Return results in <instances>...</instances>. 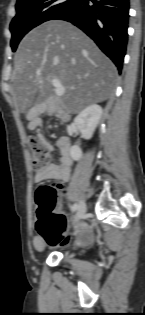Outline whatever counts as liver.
Wrapping results in <instances>:
<instances>
[{"mask_svg":"<svg viewBox=\"0 0 145 315\" xmlns=\"http://www.w3.org/2000/svg\"><path fill=\"white\" fill-rule=\"evenodd\" d=\"M117 69L80 29L51 20L31 30L20 42L14 58L11 94L16 108L32 119L33 107L47 104L60 116L79 113L107 100L113 93ZM52 79L65 87L53 97Z\"/></svg>","mask_w":145,"mask_h":315,"instance_id":"liver-1","label":"liver"}]
</instances>
